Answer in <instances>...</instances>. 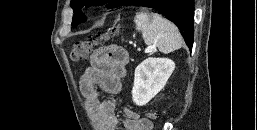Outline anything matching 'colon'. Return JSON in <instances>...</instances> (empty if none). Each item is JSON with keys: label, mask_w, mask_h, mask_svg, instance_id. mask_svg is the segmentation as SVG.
<instances>
[{"label": "colon", "mask_w": 257, "mask_h": 130, "mask_svg": "<svg viewBox=\"0 0 257 130\" xmlns=\"http://www.w3.org/2000/svg\"><path fill=\"white\" fill-rule=\"evenodd\" d=\"M103 36L96 37L94 39H88L85 41L77 42L71 49L70 57L74 62H79L81 60L86 59L94 47L98 44L99 40H101ZM149 120H156L158 118L157 113H149Z\"/></svg>", "instance_id": "5ec220e1"}]
</instances>
